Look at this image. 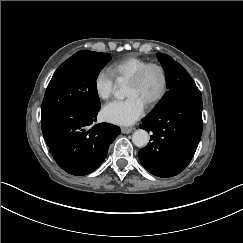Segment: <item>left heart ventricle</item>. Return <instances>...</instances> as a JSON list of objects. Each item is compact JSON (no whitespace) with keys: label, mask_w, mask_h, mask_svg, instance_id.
<instances>
[{"label":"left heart ventricle","mask_w":243,"mask_h":243,"mask_svg":"<svg viewBox=\"0 0 243 243\" xmlns=\"http://www.w3.org/2000/svg\"><path fill=\"white\" fill-rule=\"evenodd\" d=\"M163 88V76L156 67H151L146 71L139 83L127 84L126 96L137 95L147 105L154 100Z\"/></svg>","instance_id":"1"}]
</instances>
